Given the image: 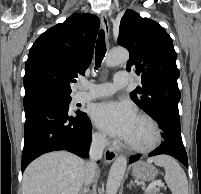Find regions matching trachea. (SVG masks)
<instances>
[{
    "instance_id": "3493384b",
    "label": "trachea",
    "mask_w": 201,
    "mask_h": 194,
    "mask_svg": "<svg viewBox=\"0 0 201 194\" xmlns=\"http://www.w3.org/2000/svg\"><path fill=\"white\" fill-rule=\"evenodd\" d=\"M105 54H106L105 35L104 31L100 30L95 49V61H96L95 70H97L98 67H100L101 62L105 57Z\"/></svg>"
}]
</instances>
